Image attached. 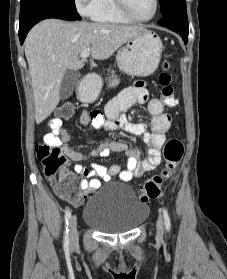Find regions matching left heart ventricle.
I'll list each match as a JSON object with an SVG mask.
<instances>
[{
    "label": "left heart ventricle",
    "mask_w": 227,
    "mask_h": 279,
    "mask_svg": "<svg viewBox=\"0 0 227 279\" xmlns=\"http://www.w3.org/2000/svg\"><path fill=\"white\" fill-rule=\"evenodd\" d=\"M131 12L138 18L148 17L153 11V0H127Z\"/></svg>",
    "instance_id": "b2bd125f"
}]
</instances>
